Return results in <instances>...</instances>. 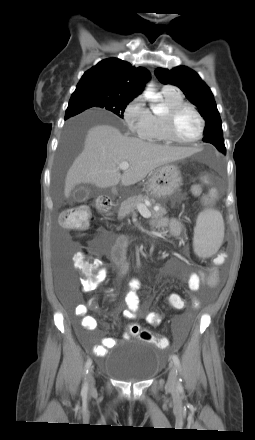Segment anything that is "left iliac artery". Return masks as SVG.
<instances>
[{
	"instance_id": "left-iliac-artery-1",
	"label": "left iliac artery",
	"mask_w": 255,
	"mask_h": 440,
	"mask_svg": "<svg viewBox=\"0 0 255 440\" xmlns=\"http://www.w3.org/2000/svg\"><path fill=\"white\" fill-rule=\"evenodd\" d=\"M172 360L177 367L178 373L180 372V360L177 355H172ZM178 389H182L181 379L178 380L177 384Z\"/></svg>"
}]
</instances>
